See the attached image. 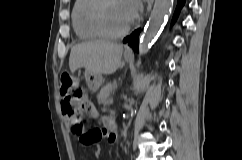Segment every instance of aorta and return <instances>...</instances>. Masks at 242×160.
Returning a JSON list of instances; mask_svg holds the SVG:
<instances>
[{
    "label": "aorta",
    "mask_w": 242,
    "mask_h": 160,
    "mask_svg": "<svg viewBox=\"0 0 242 160\" xmlns=\"http://www.w3.org/2000/svg\"><path fill=\"white\" fill-rule=\"evenodd\" d=\"M173 6V0H155L150 18L144 28L139 41V52L145 54L154 38L158 34L165 17L170 12Z\"/></svg>",
    "instance_id": "762f6f07"
}]
</instances>
